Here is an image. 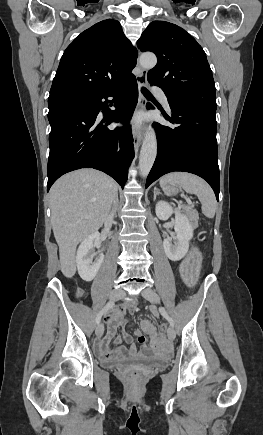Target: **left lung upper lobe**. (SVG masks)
<instances>
[{"mask_svg": "<svg viewBox=\"0 0 263 435\" xmlns=\"http://www.w3.org/2000/svg\"><path fill=\"white\" fill-rule=\"evenodd\" d=\"M137 46L142 52L156 54L157 65L147 78L164 91L169 101L216 110L215 84L206 54L184 29L153 21Z\"/></svg>", "mask_w": 263, "mask_h": 435, "instance_id": "obj_1", "label": "left lung upper lobe"}]
</instances>
